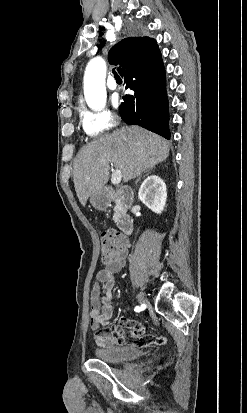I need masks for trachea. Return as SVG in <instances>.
<instances>
[{
	"label": "trachea",
	"mask_w": 247,
	"mask_h": 413,
	"mask_svg": "<svg viewBox=\"0 0 247 413\" xmlns=\"http://www.w3.org/2000/svg\"><path fill=\"white\" fill-rule=\"evenodd\" d=\"M113 73L116 80H121L120 76L115 72V70H113Z\"/></svg>",
	"instance_id": "3493384b"
}]
</instances>
